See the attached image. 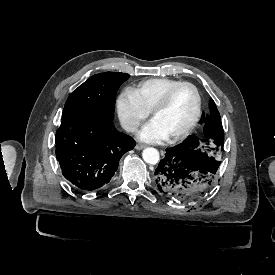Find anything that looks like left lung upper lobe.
<instances>
[{
  "label": "left lung upper lobe",
  "instance_id": "obj_1",
  "mask_svg": "<svg viewBox=\"0 0 275 275\" xmlns=\"http://www.w3.org/2000/svg\"><path fill=\"white\" fill-rule=\"evenodd\" d=\"M209 109L210 114L205 116L203 112L200 120V123L204 124L203 136H189L181 144L173 147V150L215 172L220 165L218 155L224 143V130L219 112L212 99L209 102Z\"/></svg>",
  "mask_w": 275,
  "mask_h": 275
}]
</instances>
